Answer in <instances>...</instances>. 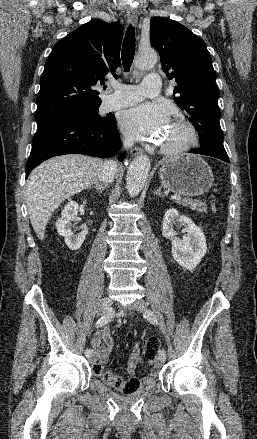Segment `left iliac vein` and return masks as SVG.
Returning <instances> with one entry per match:
<instances>
[{
    "label": "left iliac vein",
    "mask_w": 257,
    "mask_h": 439,
    "mask_svg": "<svg viewBox=\"0 0 257 439\" xmlns=\"http://www.w3.org/2000/svg\"><path fill=\"white\" fill-rule=\"evenodd\" d=\"M146 307H147V303H146V301H144V300H142V299L137 300V301H135V302L132 304V308H133L134 310L139 311V312H142V313L146 311ZM164 360H165V359H163V358H161V357L159 356V357H158V360H157V364H158L159 366H162L163 363H164Z\"/></svg>",
    "instance_id": "left-iliac-vein-1"
}]
</instances>
